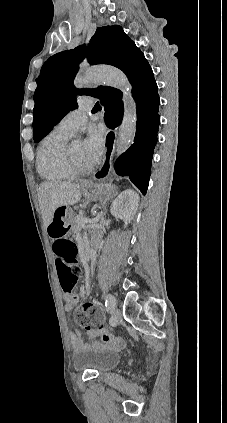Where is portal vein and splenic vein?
<instances>
[{
  "label": "portal vein and splenic vein",
  "instance_id": "18ae733b",
  "mask_svg": "<svg viewBox=\"0 0 227 423\" xmlns=\"http://www.w3.org/2000/svg\"><path fill=\"white\" fill-rule=\"evenodd\" d=\"M102 214H104V211H100L99 216L94 217V219H88V217H78L77 221H79V223H94V221H99Z\"/></svg>",
  "mask_w": 227,
  "mask_h": 423
}]
</instances>
